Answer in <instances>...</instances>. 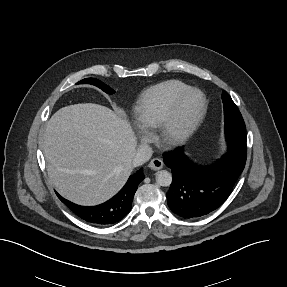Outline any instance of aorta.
I'll return each instance as SVG.
<instances>
[{"label":"aorta","instance_id":"1","mask_svg":"<svg viewBox=\"0 0 287 287\" xmlns=\"http://www.w3.org/2000/svg\"><path fill=\"white\" fill-rule=\"evenodd\" d=\"M156 182L163 187L170 186L172 183V175L168 171H159L156 174Z\"/></svg>","mask_w":287,"mask_h":287}]
</instances>
